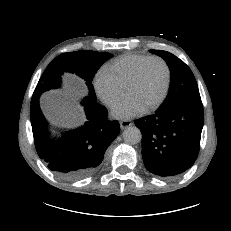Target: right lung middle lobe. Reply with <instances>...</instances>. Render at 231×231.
<instances>
[{"instance_id": "right-lung-middle-lobe-1", "label": "right lung middle lobe", "mask_w": 231, "mask_h": 231, "mask_svg": "<svg viewBox=\"0 0 231 231\" xmlns=\"http://www.w3.org/2000/svg\"><path fill=\"white\" fill-rule=\"evenodd\" d=\"M112 55L92 50H79L63 53L56 57L46 68L40 78L33 95H41L43 92L60 86L63 72L75 73L84 81L90 90L89 97L85 101H96L92 79L102 64Z\"/></svg>"}]
</instances>
